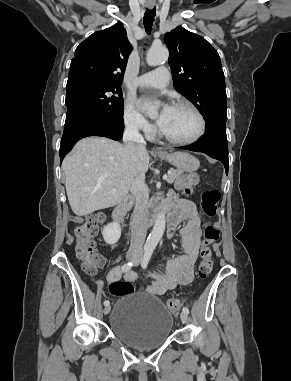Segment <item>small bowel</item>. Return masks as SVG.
<instances>
[{"label":"small bowel","instance_id":"small-bowel-1","mask_svg":"<svg viewBox=\"0 0 291 381\" xmlns=\"http://www.w3.org/2000/svg\"><path fill=\"white\" fill-rule=\"evenodd\" d=\"M169 235L173 238L178 225L185 221L180 229L183 252L178 257L168 261L164 272L150 273L152 282L143 289L150 295H163L167 290L180 284H187L194 278V264L198 256L200 245V218L195 205L187 200L177 199L171 195L167 202ZM123 279L126 282H134L138 279L135 272L121 273L118 267H114L107 274V282L113 283ZM102 286V283H99Z\"/></svg>","mask_w":291,"mask_h":381}]
</instances>
